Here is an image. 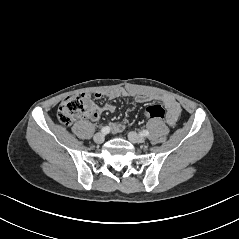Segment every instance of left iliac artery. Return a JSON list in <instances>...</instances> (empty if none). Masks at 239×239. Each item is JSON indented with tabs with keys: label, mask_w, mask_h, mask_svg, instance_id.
Listing matches in <instances>:
<instances>
[{
	"label": "left iliac artery",
	"mask_w": 239,
	"mask_h": 239,
	"mask_svg": "<svg viewBox=\"0 0 239 239\" xmlns=\"http://www.w3.org/2000/svg\"><path fill=\"white\" fill-rule=\"evenodd\" d=\"M141 135L147 137L149 135V132L147 130H144L141 132Z\"/></svg>",
	"instance_id": "left-iliac-artery-1"
}]
</instances>
